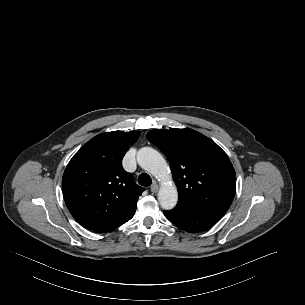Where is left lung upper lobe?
<instances>
[{"instance_id":"left-lung-upper-lobe-1","label":"left lung upper lobe","mask_w":305,"mask_h":305,"mask_svg":"<svg viewBox=\"0 0 305 305\" xmlns=\"http://www.w3.org/2000/svg\"><path fill=\"white\" fill-rule=\"evenodd\" d=\"M146 137L171 164L179 193L174 209H229L236 190L235 170L214 141L191 129H157L149 131Z\"/></svg>"}]
</instances>
